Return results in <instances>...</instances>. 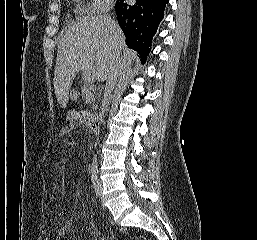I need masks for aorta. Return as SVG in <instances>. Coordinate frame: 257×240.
<instances>
[{"label":"aorta","instance_id":"762f6f07","mask_svg":"<svg viewBox=\"0 0 257 240\" xmlns=\"http://www.w3.org/2000/svg\"><path fill=\"white\" fill-rule=\"evenodd\" d=\"M90 170H91L92 179H97V173H98L97 155L93 156L92 163H91V166H90Z\"/></svg>","mask_w":257,"mask_h":240}]
</instances>
